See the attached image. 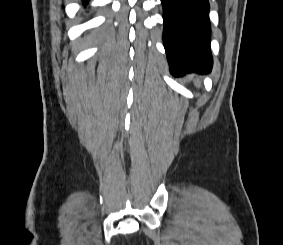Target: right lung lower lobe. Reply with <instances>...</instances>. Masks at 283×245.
<instances>
[{
  "mask_svg": "<svg viewBox=\"0 0 283 245\" xmlns=\"http://www.w3.org/2000/svg\"><path fill=\"white\" fill-rule=\"evenodd\" d=\"M89 0H82V2H83V4H87V2H88Z\"/></svg>",
  "mask_w": 283,
  "mask_h": 245,
  "instance_id": "1",
  "label": "right lung lower lobe"
}]
</instances>
